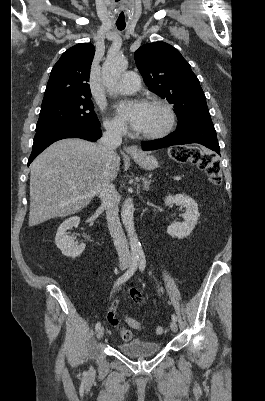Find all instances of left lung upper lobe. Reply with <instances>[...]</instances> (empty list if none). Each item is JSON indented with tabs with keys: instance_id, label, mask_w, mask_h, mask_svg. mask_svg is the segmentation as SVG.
Wrapping results in <instances>:
<instances>
[{
	"instance_id": "obj_1",
	"label": "left lung upper lobe",
	"mask_w": 265,
	"mask_h": 401,
	"mask_svg": "<svg viewBox=\"0 0 265 401\" xmlns=\"http://www.w3.org/2000/svg\"><path fill=\"white\" fill-rule=\"evenodd\" d=\"M134 58L148 89L173 104L178 126L210 117L199 80L177 49L164 42L149 43Z\"/></svg>"
}]
</instances>
